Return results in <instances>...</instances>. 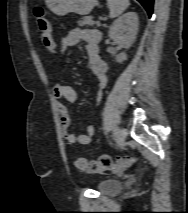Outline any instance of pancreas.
<instances>
[{"mask_svg":"<svg viewBox=\"0 0 188 213\" xmlns=\"http://www.w3.org/2000/svg\"><path fill=\"white\" fill-rule=\"evenodd\" d=\"M78 24H79L80 26H87V27H89V26H94V25L100 26V25H98L99 22H95V21L93 20V17H92V16H85V17L81 18V19L78 21Z\"/></svg>","mask_w":188,"mask_h":213,"instance_id":"obj_1","label":"pancreas"}]
</instances>
